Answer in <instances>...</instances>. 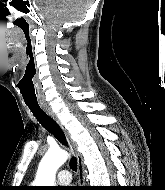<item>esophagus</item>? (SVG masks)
Listing matches in <instances>:
<instances>
[{
	"label": "esophagus",
	"instance_id": "34e87169",
	"mask_svg": "<svg viewBox=\"0 0 165 190\" xmlns=\"http://www.w3.org/2000/svg\"><path fill=\"white\" fill-rule=\"evenodd\" d=\"M42 109L63 129L67 141L70 145V148L73 152V154L75 155L76 159H77V164H78V183L80 186H84L85 185V173H84V165H83V160L82 157L80 155V153L77 150L76 144L75 142L71 139L69 133L63 128V126L61 125L60 120L58 119L57 115L54 113V111L47 106L46 104H41Z\"/></svg>",
	"mask_w": 165,
	"mask_h": 190
}]
</instances>
